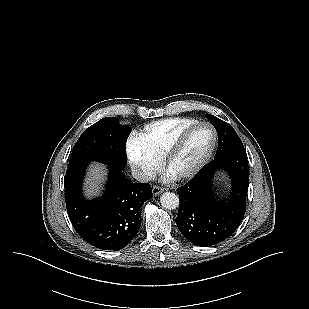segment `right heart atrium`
Segmentation results:
<instances>
[{"mask_svg": "<svg viewBox=\"0 0 309 309\" xmlns=\"http://www.w3.org/2000/svg\"><path fill=\"white\" fill-rule=\"evenodd\" d=\"M127 156L134 173L142 181L151 180L160 169V159L132 137L127 142Z\"/></svg>", "mask_w": 309, "mask_h": 309, "instance_id": "obj_1", "label": "right heart atrium"}]
</instances>
